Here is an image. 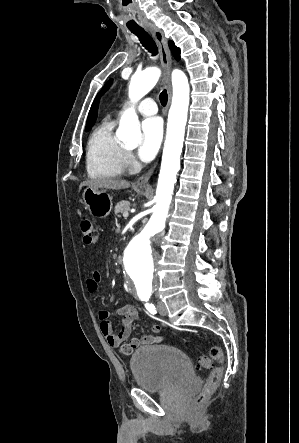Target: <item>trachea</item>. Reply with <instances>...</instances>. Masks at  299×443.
<instances>
[{"instance_id":"3493384b","label":"trachea","mask_w":299,"mask_h":443,"mask_svg":"<svg viewBox=\"0 0 299 443\" xmlns=\"http://www.w3.org/2000/svg\"><path fill=\"white\" fill-rule=\"evenodd\" d=\"M140 40L141 44L152 54V56H156L158 54V48L151 38V36L145 30H131ZM160 102L163 106L166 105L168 97L167 91L163 90L159 96Z\"/></svg>"}]
</instances>
